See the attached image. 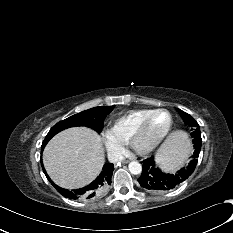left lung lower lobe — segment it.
Listing matches in <instances>:
<instances>
[{"label": "left lung lower lobe", "mask_w": 233, "mask_h": 233, "mask_svg": "<svg viewBox=\"0 0 233 233\" xmlns=\"http://www.w3.org/2000/svg\"><path fill=\"white\" fill-rule=\"evenodd\" d=\"M201 144L194 142V153L188 166L181 168L174 174L164 173L155 165L154 157L143 160L142 175L139 177V184L151 191H167L178 187L195 170L197 159L201 150Z\"/></svg>", "instance_id": "obj_1"}]
</instances>
